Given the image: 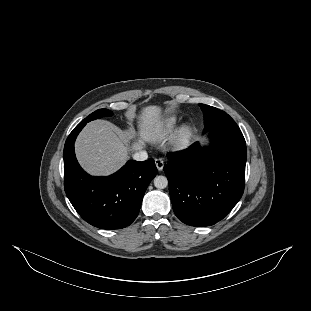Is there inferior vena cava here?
<instances>
[{"instance_id":"602c4592","label":"inferior vena cava","mask_w":311,"mask_h":311,"mask_svg":"<svg viewBox=\"0 0 311 311\" xmlns=\"http://www.w3.org/2000/svg\"><path fill=\"white\" fill-rule=\"evenodd\" d=\"M133 159L137 161H145L148 159V154L145 150L136 151L133 154Z\"/></svg>"}]
</instances>
